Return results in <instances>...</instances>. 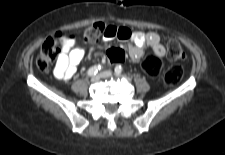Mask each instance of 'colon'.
Here are the masks:
<instances>
[{"label": "colon", "mask_w": 225, "mask_h": 155, "mask_svg": "<svg viewBox=\"0 0 225 155\" xmlns=\"http://www.w3.org/2000/svg\"><path fill=\"white\" fill-rule=\"evenodd\" d=\"M109 25H106L102 22H97L85 27L81 31L82 40L86 43L95 42L100 36H103L106 32L109 31ZM61 32L56 33L48 37L42 44L39 55L36 59V65L41 71H46L48 68L55 62L60 54L59 44ZM167 55L170 61L180 62L185 58V52L180 45V43L174 39L167 40L166 43ZM108 59L114 63H122L126 60L127 55L123 49L119 46L109 47L107 49ZM160 69V62L157 60L149 59L144 63L140 71L143 75H157ZM183 76V70L179 65H174L170 67L164 73V81L168 85H173L178 83Z\"/></svg>", "instance_id": "obj_1"}]
</instances>
